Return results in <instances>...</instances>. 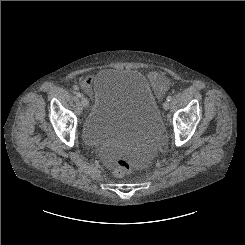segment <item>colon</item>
Wrapping results in <instances>:
<instances>
[{
  "mask_svg": "<svg viewBox=\"0 0 245 245\" xmlns=\"http://www.w3.org/2000/svg\"><path fill=\"white\" fill-rule=\"evenodd\" d=\"M114 170L117 176H124L130 171V163L125 159H118Z\"/></svg>",
  "mask_w": 245,
  "mask_h": 245,
  "instance_id": "1",
  "label": "colon"
}]
</instances>
